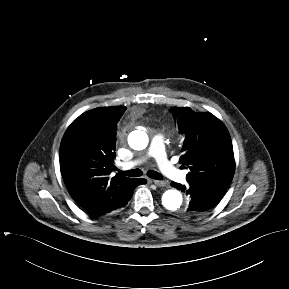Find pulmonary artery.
Here are the masks:
<instances>
[{"instance_id":"obj_1","label":"pulmonary artery","mask_w":289,"mask_h":289,"mask_svg":"<svg viewBox=\"0 0 289 289\" xmlns=\"http://www.w3.org/2000/svg\"><path fill=\"white\" fill-rule=\"evenodd\" d=\"M148 155L153 157L156 160L160 171L166 177L176 182L185 181L186 173L176 168L167 158V154L165 152V146H164V139L162 135L158 134L152 138V141L148 150ZM140 162L141 160H136V161L125 163L123 165V168L125 169L132 168L133 166L139 164Z\"/></svg>"}]
</instances>
